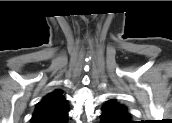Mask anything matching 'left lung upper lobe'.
I'll return each instance as SVG.
<instances>
[{
    "label": "left lung upper lobe",
    "instance_id": "1",
    "mask_svg": "<svg viewBox=\"0 0 172 123\" xmlns=\"http://www.w3.org/2000/svg\"><path fill=\"white\" fill-rule=\"evenodd\" d=\"M101 120L105 123H130V115L125 106L112 99L102 109Z\"/></svg>",
    "mask_w": 172,
    "mask_h": 123
}]
</instances>
